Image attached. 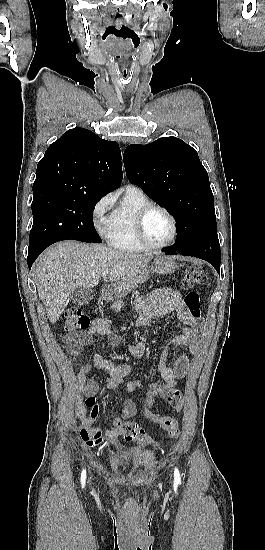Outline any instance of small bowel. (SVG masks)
I'll use <instances>...</instances> for the list:
<instances>
[{
    "label": "small bowel",
    "instance_id": "c3829d8e",
    "mask_svg": "<svg viewBox=\"0 0 265 550\" xmlns=\"http://www.w3.org/2000/svg\"><path fill=\"white\" fill-rule=\"evenodd\" d=\"M135 308L139 313L137 326L140 329V336L137 342L127 347V353L136 359H141L146 355L147 344L145 331L153 318L174 312L180 320L182 324L181 332L171 341V345L186 347L188 352L179 354L174 358L171 364H168V350L165 349L161 353L158 363V372L163 379V388L167 390H177V381L184 378L190 370L189 357L195 355L201 345L198 334L201 325L199 319L194 318L185 310L181 294L176 289L169 287L155 289L139 297L135 302ZM121 309L122 302H116L113 306V310L118 312ZM95 335L105 336L112 345L119 342V337L111 328L108 319L96 318L87 331L63 337V343L68 356H78L83 347L91 343ZM93 370L109 373L110 378L105 383L108 389H117L122 386L128 392H136L142 386L139 380H126V377L131 372V367L129 365H115L106 360L102 355L94 353L91 356V361L82 366L75 376L76 383L79 385L80 389L85 388L87 394L90 396L96 395L99 391V384L95 379L86 380L87 374ZM158 395L162 397L161 393ZM77 414L81 422L80 437L88 447L95 448L104 441H112L118 436L119 433L116 429H109L103 432L99 427L94 425V421L99 414L98 405L96 409L92 411L90 417L85 416V411L82 407L78 408ZM135 414L136 406L134 402L132 400L125 401L121 411V417L127 419L133 417ZM151 420L162 426L159 418Z\"/></svg>",
    "mask_w": 265,
    "mask_h": 550
}]
</instances>
